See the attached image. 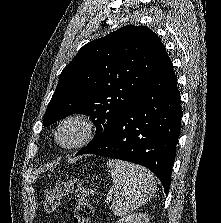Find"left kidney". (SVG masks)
<instances>
[{
	"label": "left kidney",
	"instance_id": "left-kidney-1",
	"mask_svg": "<svg viewBox=\"0 0 221 223\" xmlns=\"http://www.w3.org/2000/svg\"><path fill=\"white\" fill-rule=\"evenodd\" d=\"M149 218L146 214L137 213L121 218L116 223H148Z\"/></svg>",
	"mask_w": 221,
	"mask_h": 223
}]
</instances>
